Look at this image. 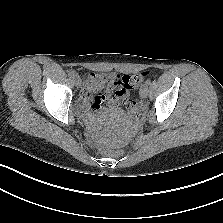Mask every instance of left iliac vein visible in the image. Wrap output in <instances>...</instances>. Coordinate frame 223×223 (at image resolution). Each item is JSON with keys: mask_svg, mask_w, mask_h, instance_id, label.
I'll return each instance as SVG.
<instances>
[{"mask_svg": "<svg viewBox=\"0 0 223 223\" xmlns=\"http://www.w3.org/2000/svg\"><path fill=\"white\" fill-rule=\"evenodd\" d=\"M140 96H141V98H146L148 96V87L146 85L141 87Z\"/></svg>", "mask_w": 223, "mask_h": 223, "instance_id": "obj_1", "label": "left iliac vein"}]
</instances>
